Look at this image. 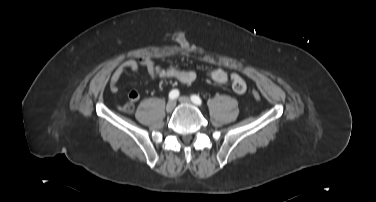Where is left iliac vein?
I'll return each mask as SVG.
<instances>
[{
	"label": "left iliac vein",
	"instance_id": "left-iliac-vein-1",
	"mask_svg": "<svg viewBox=\"0 0 376 202\" xmlns=\"http://www.w3.org/2000/svg\"><path fill=\"white\" fill-rule=\"evenodd\" d=\"M179 101L183 104H191V100L190 98L186 97V96H181L179 98Z\"/></svg>",
	"mask_w": 376,
	"mask_h": 202
}]
</instances>
